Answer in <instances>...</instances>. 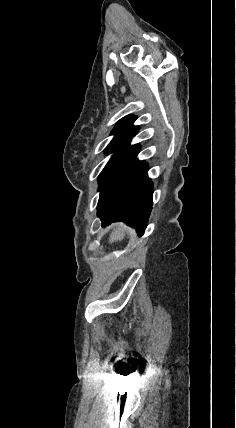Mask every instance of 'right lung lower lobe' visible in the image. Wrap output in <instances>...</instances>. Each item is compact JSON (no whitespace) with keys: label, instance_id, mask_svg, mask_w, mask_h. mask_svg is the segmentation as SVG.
Returning <instances> with one entry per match:
<instances>
[{"label":"right lung lower lobe","instance_id":"obj_1","mask_svg":"<svg viewBox=\"0 0 236 428\" xmlns=\"http://www.w3.org/2000/svg\"><path fill=\"white\" fill-rule=\"evenodd\" d=\"M147 164L138 161L103 198L97 215L103 224L123 221L142 234L152 208L153 185L147 176Z\"/></svg>","mask_w":236,"mask_h":428}]
</instances>
